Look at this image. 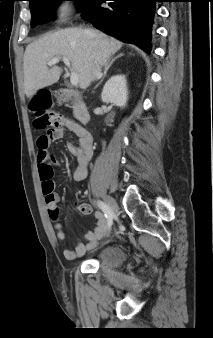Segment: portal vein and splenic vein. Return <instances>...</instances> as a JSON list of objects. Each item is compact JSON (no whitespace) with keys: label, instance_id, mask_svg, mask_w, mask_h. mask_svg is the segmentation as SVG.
I'll return each instance as SVG.
<instances>
[{"label":"portal vein and splenic vein","instance_id":"obj_1","mask_svg":"<svg viewBox=\"0 0 213 338\" xmlns=\"http://www.w3.org/2000/svg\"><path fill=\"white\" fill-rule=\"evenodd\" d=\"M60 58H53L51 59L47 64L49 66H53L55 64H57L59 62ZM63 62L65 63V65H67L70 68L71 71V75H70V82L73 86H77L78 82H79V77L77 75V73L74 71V69L71 68V64H70V60L66 57H63Z\"/></svg>","mask_w":213,"mask_h":338}]
</instances>
